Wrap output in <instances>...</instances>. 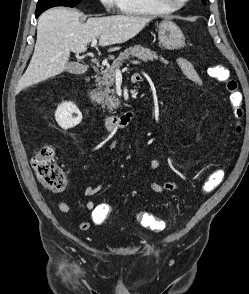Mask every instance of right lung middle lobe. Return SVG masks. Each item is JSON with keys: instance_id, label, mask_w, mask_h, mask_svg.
<instances>
[{"instance_id": "obj_1", "label": "right lung middle lobe", "mask_w": 249, "mask_h": 294, "mask_svg": "<svg viewBox=\"0 0 249 294\" xmlns=\"http://www.w3.org/2000/svg\"><path fill=\"white\" fill-rule=\"evenodd\" d=\"M82 0H39L37 3L36 11H45L54 6H67L74 7Z\"/></svg>"}]
</instances>
